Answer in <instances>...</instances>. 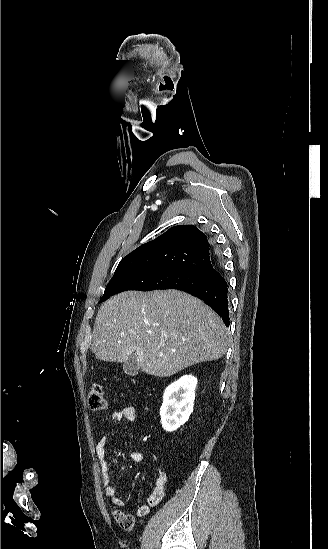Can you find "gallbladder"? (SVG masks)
<instances>
[{"label":"gallbladder","instance_id":"1","mask_svg":"<svg viewBox=\"0 0 328 549\" xmlns=\"http://www.w3.org/2000/svg\"><path fill=\"white\" fill-rule=\"evenodd\" d=\"M123 371L126 373V375H130V377H135V375H138L140 371V365L138 363L137 355L135 353H132L130 355L129 359L123 363Z\"/></svg>","mask_w":328,"mask_h":549}]
</instances>
